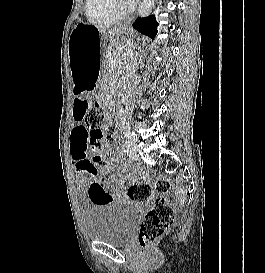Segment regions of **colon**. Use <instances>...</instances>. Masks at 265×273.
Masks as SVG:
<instances>
[{"label": "colon", "mask_w": 265, "mask_h": 273, "mask_svg": "<svg viewBox=\"0 0 265 273\" xmlns=\"http://www.w3.org/2000/svg\"><path fill=\"white\" fill-rule=\"evenodd\" d=\"M85 122L90 128L88 144L94 153V161L103 164V144L113 141L116 120L113 118L106 120L103 109L97 105L87 112ZM155 191L171 192V196L154 198L153 205L138 232V243L142 248H149L173 226L176 208L185 202L183 191L164 176L157 178L153 183L143 181L131 184L128 188V197L133 202L144 203L154 196Z\"/></svg>", "instance_id": "colon-1"}]
</instances>
